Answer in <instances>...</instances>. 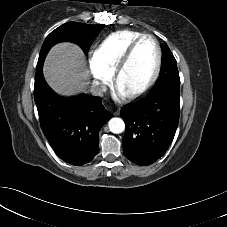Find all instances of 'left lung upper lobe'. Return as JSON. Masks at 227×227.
Here are the masks:
<instances>
[{"label":"left lung upper lobe","mask_w":227,"mask_h":227,"mask_svg":"<svg viewBox=\"0 0 227 227\" xmlns=\"http://www.w3.org/2000/svg\"><path fill=\"white\" fill-rule=\"evenodd\" d=\"M162 66L158 81L152 90L168 88L179 91L180 78L177 69V62L166 44H161Z\"/></svg>","instance_id":"1"}]
</instances>
